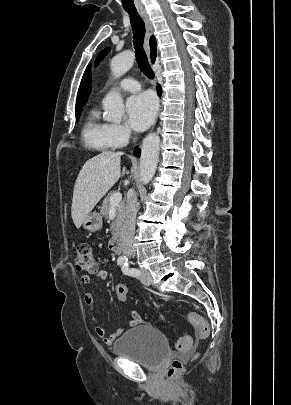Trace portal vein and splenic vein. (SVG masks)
I'll return each instance as SVG.
<instances>
[{
	"instance_id": "18ae733b",
	"label": "portal vein and splenic vein",
	"mask_w": 291,
	"mask_h": 405,
	"mask_svg": "<svg viewBox=\"0 0 291 405\" xmlns=\"http://www.w3.org/2000/svg\"><path fill=\"white\" fill-rule=\"evenodd\" d=\"M122 200V194L117 192L110 198L111 206H116Z\"/></svg>"
}]
</instances>
